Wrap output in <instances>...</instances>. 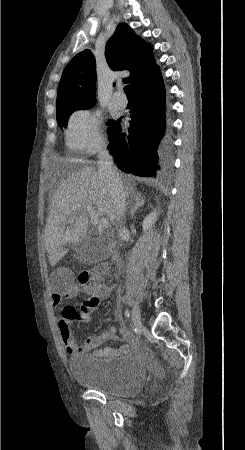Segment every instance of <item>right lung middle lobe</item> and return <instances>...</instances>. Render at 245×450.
Wrapping results in <instances>:
<instances>
[{
	"instance_id": "1",
	"label": "right lung middle lobe",
	"mask_w": 245,
	"mask_h": 450,
	"mask_svg": "<svg viewBox=\"0 0 245 450\" xmlns=\"http://www.w3.org/2000/svg\"><path fill=\"white\" fill-rule=\"evenodd\" d=\"M94 104H78V103H66L57 105V121L59 126H66L67 119L71 113L76 110L88 109ZM114 126V125H113ZM112 126V128H113Z\"/></svg>"
}]
</instances>
